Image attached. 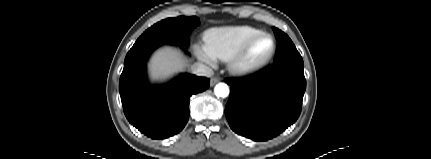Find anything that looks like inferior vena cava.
I'll return each mask as SVG.
<instances>
[{
  "mask_svg": "<svg viewBox=\"0 0 431 159\" xmlns=\"http://www.w3.org/2000/svg\"><path fill=\"white\" fill-rule=\"evenodd\" d=\"M191 71L197 76L211 77L214 74L213 70L209 66L202 63H194L191 66Z\"/></svg>",
  "mask_w": 431,
  "mask_h": 159,
  "instance_id": "602c4592",
  "label": "inferior vena cava"
}]
</instances>
